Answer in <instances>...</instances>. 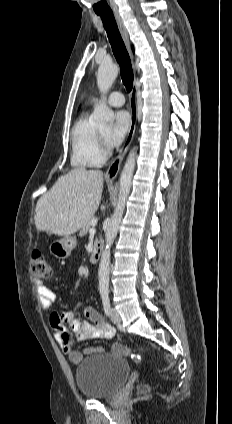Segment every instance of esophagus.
I'll return each instance as SVG.
<instances>
[{
  "mask_svg": "<svg viewBox=\"0 0 232 424\" xmlns=\"http://www.w3.org/2000/svg\"><path fill=\"white\" fill-rule=\"evenodd\" d=\"M114 17H115L119 31L121 33V36L123 38V41L126 45V48H127L128 52L130 54V57H131V60H132V63H133V55H132V51H131V47H130L129 35H128L127 29L125 27V24L123 22V19H122L119 12H114ZM130 111H131V128H130V131H129L127 137H126V140H125V143H124L122 149L120 150L119 154L117 155V157L114 159V161L111 163V165L109 166V168L107 170L106 177L108 179H114L118 175V172L120 170L123 158H124L128 148H129V145H130V143L133 139L134 133H135L136 122H137V85H136V82H134V86L132 88L131 95H130Z\"/></svg>",
  "mask_w": 232,
  "mask_h": 424,
  "instance_id": "34e87169",
  "label": "esophagus"
}]
</instances>
